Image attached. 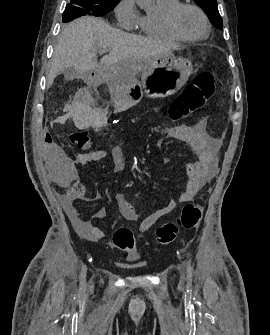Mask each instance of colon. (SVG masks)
Instances as JSON below:
<instances>
[{
	"label": "colon",
	"instance_id": "obj_1",
	"mask_svg": "<svg viewBox=\"0 0 270 335\" xmlns=\"http://www.w3.org/2000/svg\"><path fill=\"white\" fill-rule=\"evenodd\" d=\"M214 92V74L210 71L199 73L187 85L184 92L173 101L169 110L170 117L174 120H179L198 110L213 96ZM69 139L72 144L80 149H88L92 146V138L84 130L73 132ZM201 215V204L187 202L175 220L165 221L156 229L158 244L169 246L177 240L181 231L195 229L199 225ZM112 243L116 249L126 251L131 257H136L140 253V250L135 245L133 233L128 228L115 230Z\"/></svg>",
	"mask_w": 270,
	"mask_h": 335
}]
</instances>
